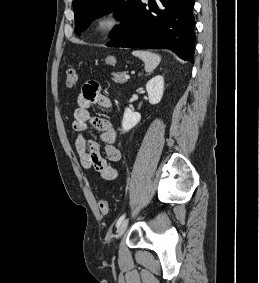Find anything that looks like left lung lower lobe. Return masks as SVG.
I'll return each mask as SVG.
<instances>
[{
	"label": "left lung lower lobe",
	"instance_id": "0a47b994",
	"mask_svg": "<svg viewBox=\"0 0 259 283\" xmlns=\"http://www.w3.org/2000/svg\"><path fill=\"white\" fill-rule=\"evenodd\" d=\"M194 0H136L109 47L166 48L194 62Z\"/></svg>",
	"mask_w": 259,
	"mask_h": 283
}]
</instances>
